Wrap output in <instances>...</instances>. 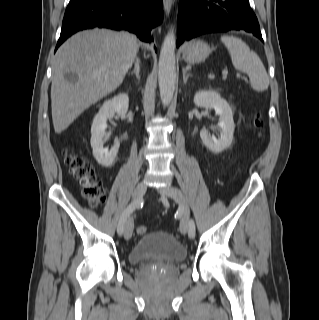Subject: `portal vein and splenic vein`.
Here are the masks:
<instances>
[{
    "label": "portal vein and splenic vein",
    "instance_id": "obj_1",
    "mask_svg": "<svg viewBox=\"0 0 319 320\" xmlns=\"http://www.w3.org/2000/svg\"><path fill=\"white\" fill-rule=\"evenodd\" d=\"M227 73H228L227 70L223 72L224 75H227ZM240 76H241L240 74H237V77H240Z\"/></svg>",
    "mask_w": 319,
    "mask_h": 320
}]
</instances>
